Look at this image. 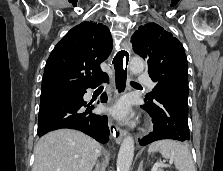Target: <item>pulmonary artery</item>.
<instances>
[{"label":"pulmonary artery","mask_w":223,"mask_h":171,"mask_svg":"<svg viewBox=\"0 0 223 171\" xmlns=\"http://www.w3.org/2000/svg\"><path fill=\"white\" fill-rule=\"evenodd\" d=\"M139 82L145 84L150 90L154 88V83L149 79V77L145 74H140L138 76Z\"/></svg>","instance_id":"pulmonary-artery-1"}]
</instances>
